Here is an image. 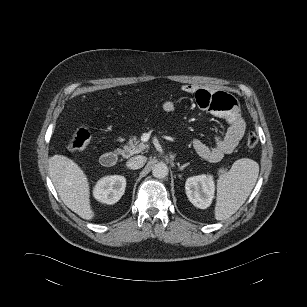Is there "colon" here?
I'll return each instance as SVG.
<instances>
[{
  "mask_svg": "<svg viewBox=\"0 0 307 307\" xmlns=\"http://www.w3.org/2000/svg\"><path fill=\"white\" fill-rule=\"evenodd\" d=\"M90 140V134L85 128L78 129L71 137L68 150L76 153L85 149ZM259 142L258 136L254 132H249L246 137V145L249 148H254Z\"/></svg>",
  "mask_w": 307,
  "mask_h": 307,
  "instance_id": "1",
  "label": "colon"
}]
</instances>
